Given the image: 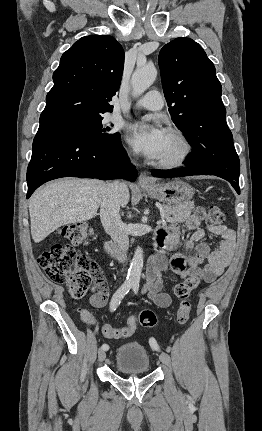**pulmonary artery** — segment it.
Returning a JSON list of instances; mask_svg holds the SVG:
<instances>
[{
    "label": "pulmonary artery",
    "mask_w": 262,
    "mask_h": 431,
    "mask_svg": "<svg viewBox=\"0 0 262 431\" xmlns=\"http://www.w3.org/2000/svg\"><path fill=\"white\" fill-rule=\"evenodd\" d=\"M164 105V100L158 91H149L136 102L137 107L147 110H160Z\"/></svg>",
    "instance_id": "1"
}]
</instances>
